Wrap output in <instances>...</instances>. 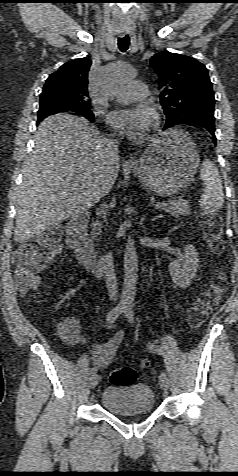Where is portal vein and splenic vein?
<instances>
[{
	"instance_id": "18ae733b",
	"label": "portal vein and splenic vein",
	"mask_w": 238,
	"mask_h": 476,
	"mask_svg": "<svg viewBox=\"0 0 238 476\" xmlns=\"http://www.w3.org/2000/svg\"><path fill=\"white\" fill-rule=\"evenodd\" d=\"M162 205H165V202H156L153 204L154 207H159V206H162Z\"/></svg>"
}]
</instances>
